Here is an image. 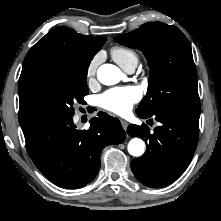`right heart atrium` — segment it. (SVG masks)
I'll return each instance as SVG.
<instances>
[{
    "mask_svg": "<svg viewBox=\"0 0 221 221\" xmlns=\"http://www.w3.org/2000/svg\"><path fill=\"white\" fill-rule=\"evenodd\" d=\"M100 58H101L100 54L95 55L87 65L86 77L89 82H92L95 78Z\"/></svg>",
    "mask_w": 221,
    "mask_h": 221,
    "instance_id": "right-heart-atrium-1",
    "label": "right heart atrium"
}]
</instances>
